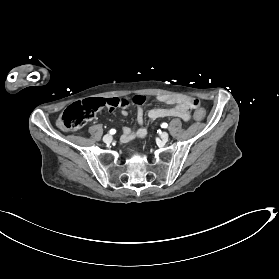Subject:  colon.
<instances>
[{"mask_svg": "<svg viewBox=\"0 0 279 279\" xmlns=\"http://www.w3.org/2000/svg\"><path fill=\"white\" fill-rule=\"evenodd\" d=\"M192 109H195L194 118L202 121L205 117V110L199 107L198 100L183 96L181 97ZM146 101L143 95H136L131 99L127 98H94L82 102L74 103L67 107L58 118V125L66 131H75L81 129L88 121L93 119L95 114L102 108L125 107L130 104L142 105Z\"/></svg>", "mask_w": 279, "mask_h": 279, "instance_id": "5ec220e1", "label": "colon"}]
</instances>
